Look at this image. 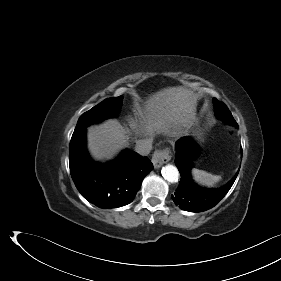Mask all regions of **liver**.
<instances>
[{"instance_id": "obj_1", "label": "liver", "mask_w": 281, "mask_h": 281, "mask_svg": "<svg viewBox=\"0 0 281 281\" xmlns=\"http://www.w3.org/2000/svg\"><path fill=\"white\" fill-rule=\"evenodd\" d=\"M192 92L184 87H169L150 96L139 108L142 126L147 135L163 133L175 136L180 127L192 123L194 108ZM132 128L139 127L132 121ZM128 131L115 119L88 128V149L95 160L112 159L121 149L128 146Z\"/></svg>"}]
</instances>
